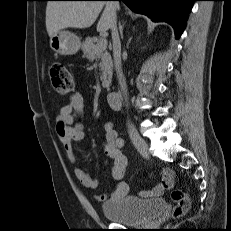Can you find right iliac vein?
<instances>
[{"instance_id":"obj_1","label":"right iliac vein","mask_w":231,"mask_h":231,"mask_svg":"<svg viewBox=\"0 0 231 231\" xmlns=\"http://www.w3.org/2000/svg\"><path fill=\"white\" fill-rule=\"evenodd\" d=\"M130 138L136 147V149L143 155L148 156L149 155V148L146 143V141L139 135V133L132 129L129 131Z\"/></svg>"}]
</instances>
